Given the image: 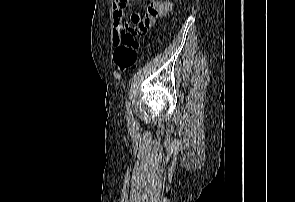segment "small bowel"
Segmentation results:
<instances>
[{"instance_id": "obj_1", "label": "small bowel", "mask_w": 295, "mask_h": 202, "mask_svg": "<svg viewBox=\"0 0 295 202\" xmlns=\"http://www.w3.org/2000/svg\"><path fill=\"white\" fill-rule=\"evenodd\" d=\"M144 9V16L141 18L137 12H129L130 0H114L113 5V43L119 45L121 34L127 30V24L138 27L141 32L152 27L157 17L166 16L172 10L170 0H140ZM128 19L125 22V19Z\"/></svg>"}]
</instances>
